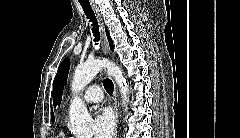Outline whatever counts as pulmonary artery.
<instances>
[{
    "instance_id": "1",
    "label": "pulmonary artery",
    "mask_w": 240,
    "mask_h": 138,
    "mask_svg": "<svg viewBox=\"0 0 240 138\" xmlns=\"http://www.w3.org/2000/svg\"><path fill=\"white\" fill-rule=\"evenodd\" d=\"M83 99L85 102L91 103V104L100 103L103 99V92L101 88L97 85L90 86L86 90L83 96Z\"/></svg>"
}]
</instances>
